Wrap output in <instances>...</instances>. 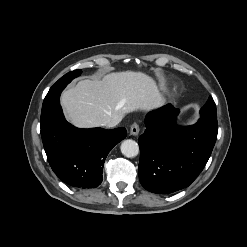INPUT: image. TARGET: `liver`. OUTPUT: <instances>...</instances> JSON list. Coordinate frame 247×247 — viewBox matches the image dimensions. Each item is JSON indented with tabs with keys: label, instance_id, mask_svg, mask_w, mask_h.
Masks as SVG:
<instances>
[{
	"label": "liver",
	"instance_id": "6515ba94",
	"mask_svg": "<svg viewBox=\"0 0 247 247\" xmlns=\"http://www.w3.org/2000/svg\"><path fill=\"white\" fill-rule=\"evenodd\" d=\"M163 103L154 79L134 71L81 80L61 95L67 119L79 128L107 126L128 112L149 111Z\"/></svg>",
	"mask_w": 247,
	"mask_h": 247
}]
</instances>
